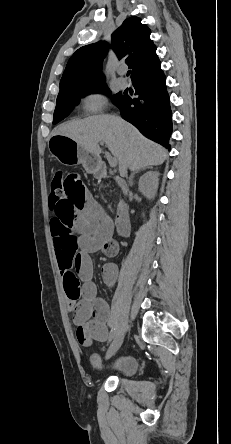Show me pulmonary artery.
I'll list each match as a JSON object with an SVG mask.
<instances>
[{
    "label": "pulmonary artery",
    "instance_id": "obj_1",
    "mask_svg": "<svg viewBox=\"0 0 231 444\" xmlns=\"http://www.w3.org/2000/svg\"><path fill=\"white\" fill-rule=\"evenodd\" d=\"M122 72H123V69H120L119 74H121ZM116 83H117L118 87H120L122 89H124L128 86V81L123 77H118L116 80Z\"/></svg>",
    "mask_w": 231,
    "mask_h": 444
}]
</instances>
